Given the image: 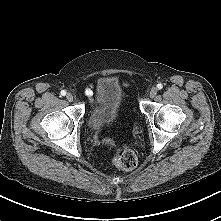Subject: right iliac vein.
Segmentation results:
<instances>
[{
    "instance_id": "63e3f726",
    "label": "right iliac vein",
    "mask_w": 221,
    "mask_h": 221,
    "mask_svg": "<svg viewBox=\"0 0 221 221\" xmlns=\"http://www.w3.org/2000/svg\"><path fill=\"white\" fill-rule=\"evenodd\" d=\"M66 99H67L69 102L73 101V99H74L73 94H72V93H68V94L66 95Z\"/></svg>"
}]
</instances>
